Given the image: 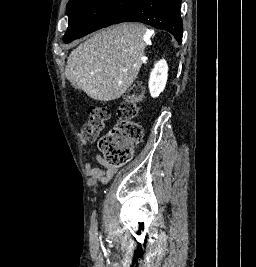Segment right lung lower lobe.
Segmentation results:
<instances>
[{
    "label": "right lung lower lobe",
    "instance_id": "obj_1",
    "mask_svg": "<svg viewBox=\"0 0 256 267\" xmlns=\"http://www.w3.org/2000/svg\"><path fill=\"white\" fill-rule=\"evenodd\" d=\"M180 4L181 0H138L111 25L121 22H142L170 32L181 44L183 25Z\"/></svg>",
    "mask_w": 256,
    "mask_h": 267
}]
</instances>
